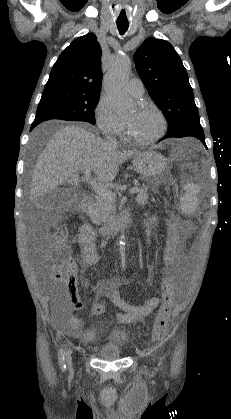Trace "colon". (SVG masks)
<instances>
[{"instance_id":"1","label":"colon","mask_w":231,"mask_h":419,"mask_svg":"<svg viewBox=\"0 0 231 419\" xmlns=\"http://www.w3.org/2000/svg\"><path fill=\"white\" fill-rule=\"evenodd\" d=\"M67 229L64 226L59 227L45 250V259L52 279L64 284L68 288L75 286V266L70 260L71 250L66 241ZM180 241L177 239V231L172 225L169 233V239L164 249V261L166 263L174 262L179 254ZM163 286L160 297L164 299L154 324L153 338L162 340L166 335L167 318L170 314L173 298L179 293L180 286L172 278L170 273L163 275ZM94 312L98 315L104 313L103 305L95 307ZM114 336L118 340H124L125 334L121 330H116Z\"/></svg>"}]
</instances>
